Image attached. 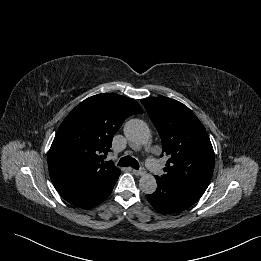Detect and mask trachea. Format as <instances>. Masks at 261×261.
I'll use <instances>...</instances> for the list:
<instances>
[{"instance_id":"1","label":"trachea","mask_w":261,"mask_h":261,"mask_svg":"<svg viewBox=\"0 0 261 261\" xmlns=\"http://www.w3.org/2000/svg\"><path fill=\"white\" fill-rule=\"evenodd\" d=\"M118 166H130L136 170H139L138 161L135 158H132L131 156L122 157L118 162Z\"/></svg>"}]
</instances>
